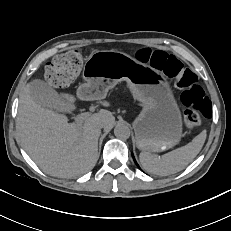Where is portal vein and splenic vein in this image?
<instances>
[{
	"instance_id": "18ae733b",
	"label": "portal vein and splenic vein",
	"mask_w": 231,
	"mask_h": 231,
	"mask_svg": "<svg viewBox=\"0 0 231 231\" xmlns=\"http://www.w3.org/2000/svg\"><path fill=\"white\" fill-rule=\"evenodd\" d=\"M93 111L94 110L91 109L90 112H85V113L79 114L76 116L75 120L77 122H82V121L86 120L89 116H91Z\"/></svg>"
}]
</instances>
